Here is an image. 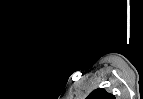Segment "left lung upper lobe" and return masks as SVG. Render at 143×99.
<instances>
[{
	"label": "left lung upper lobe",
	"instance_id": "obj_1",
	"mask_svg": "<svg viewBox=\"0 0 143 99\" xmlns=\"http://www.w3.org/2000/svg\"><path fill=\"white\" fill-rule=\"evenodd\" d=\"M86 99H115V96L113 94L108 93L103 88H98L91 92V94H89Z\"/></svg>",
	"mask_w": 143,
	"mask_h": 99
}]
</instances>
